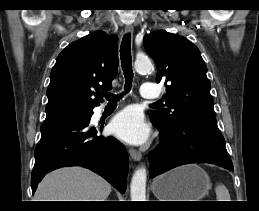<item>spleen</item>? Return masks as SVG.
<instances>
[{
	"label": "spleen",
	"instance_id": "1",
	"mask_svg": "<svg viewBox=\"0 0 259 211\" xmlns=\"http://www.w3.org/2000/svg\"><path fill=\"white\" fill-rule=\"evenodd\" d=\"M217 201H231L228 189L223 184H217L215 188Z\"/></svg>",
	"mask_w": 259,
	"mask_h": 211
}]
</instances>
